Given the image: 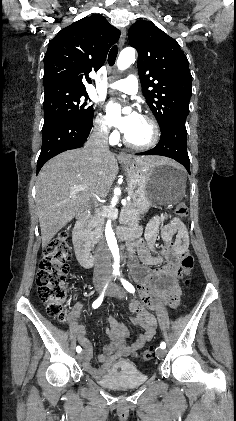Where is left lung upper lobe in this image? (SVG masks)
I'll return each instance as SVG.
<instances>
[{
  "label": "left lung upper lobe",
  "instance_id": "1",
  "mask_svg": "<svg viewBox=\"0 0 236 421\" xmlns=\"http://www.w3.org/2000/svg\"><path fill=\"white\" fill-rule=\"evenodd\" d=\"M128 36L129 44L138 51L143 95L160 128L174 116L187 117L192 76L188 59L179 44L145 20L136 21Z\"/></svg>",
  "mask_w": 236,
  "mask_h": 421
}]
</instances>
